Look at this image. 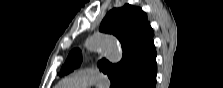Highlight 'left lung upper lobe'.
<instances>
[{"instance_id":"left-lung-upper-lobe-1","label":"left lung upper lobe","mask_w":223,"mask_h":88,"mask_svg":"<svg viewBox=\"0 0 223 88\" xmlns=\"http://www.w3.org/2000/svg\"><path fill=\"white\" fill-rule=\"evenodd\" d=\"M100 31L115 35L123 50V58L118 64H111L106 59L98 62L100 70L111 80V88L131 74L142 72L156 59L154 33L140 7L125 4L121 8L110 10L101 23ZM81 61L79 49L72 50L61 68L60 75L71 72Z\"/></svg>"}]
</instances>
